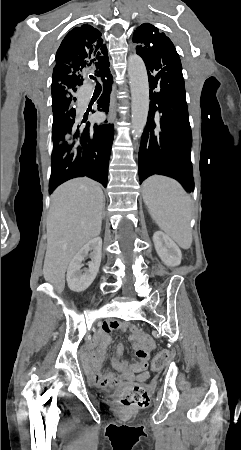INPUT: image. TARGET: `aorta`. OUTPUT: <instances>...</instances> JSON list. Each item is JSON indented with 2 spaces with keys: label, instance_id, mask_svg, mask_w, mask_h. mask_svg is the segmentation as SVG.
Returning a JSON list of instances; mask_svg holds the SVG:
<instances>
[{
  "label": "aorta",
  "instance_id": "1",
  "mask_svg": "<svg viewBox=\"0 0 241 450\" xmlns=\"http://www.w3.org/2000/svg\"><path fill=\"white\" fill-rule=\"evenodd\" d=\"M128 75L132 95V135L134 138H140L147 123L150 100L146 67L137 54L129 56Z\"/></svg>",
  "mask_w": 241,
  "mask_h": 450
}]
</instances>
